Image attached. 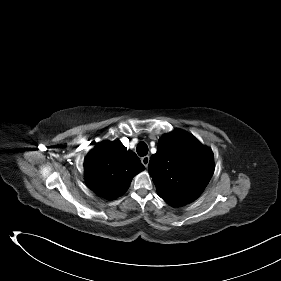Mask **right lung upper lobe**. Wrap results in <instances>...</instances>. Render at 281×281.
<instances>
[{
    "mask_svg": "<svg viewBox=\"0 0 281 281\" xmlns=\"http://www.w3.org/2000/svg\"><path fill=\"white\" fill-rule=\"evenodd\" d=\"M87 186L106 199L121 196L132 177L144 170L137 155L120 141H104L91 150L84 162Z\"/></svg>",
    "mask_w": 281,
    "mask_h": 281,
    "instance_id": "obj_1",
    "label": "right lung upper lobe"
}]
</instances>
